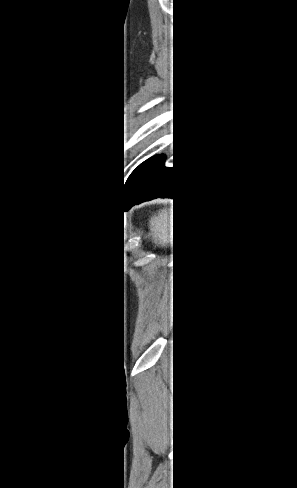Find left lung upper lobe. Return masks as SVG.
Listing matches in <instances>:
<instances>
[{"label":"left lung upper lobe","mask_w":297,"mask_h":488,"mask_svg":"<svg viewBox=\"0 0 297 488\" xmlns=\"http://www.w3.org/2000/svg\"><path fill=\"white\" fill-rule=\"evenodd\" d=\"M152 159V158H151ZM151 159L146 160L143 162L140 166H138L133 173L129 176L127 183H126V189H129L131 185L136 181V179L142 174L146 166L148 165L149 161Z\"/></svg>","instance_id":"5c2ea615"}]
</instances>
